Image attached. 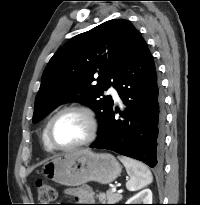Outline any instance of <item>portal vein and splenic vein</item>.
<instances>
[{"label": "portal vein and splenic vein", "instance_id": "18ae733b", "mask_svg": "<svg viewBox=\"0 0 200 205\" xmlns=\"http://www.w3.org/2000/svg\"><path fill=\"white\" fill-rule=\"evenodd\" d=\"M112 192H116V187H113V188H112Z\"/></svg>", "mask_w": 200, "mask_h": 205}]
</instances>
